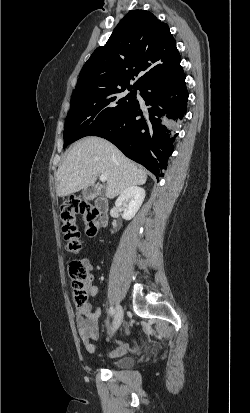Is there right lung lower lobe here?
Listing matches in <instances>:
<instances>
[{"label":"right lung lower lobe","instance_id":"1","mask_svg":"<svg viewBox=\"0 0 250 413\" xmlns=\"http://www.w3.org/2000/svg\"><path fill=\"white\" fill-rule=\"evenodd\" d=\"M140 94L147 107L138 100L89 136L105 138L128 158L142 164L156 177L163 176L178 123L187 110L188 91L185 74L145 83Z\"/></svg>","mask_w":250,"mask_h":413}]
</instances>
